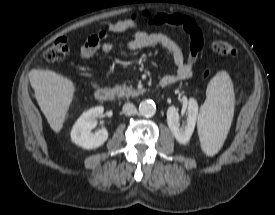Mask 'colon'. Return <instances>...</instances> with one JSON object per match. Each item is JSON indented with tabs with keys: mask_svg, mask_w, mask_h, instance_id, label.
Masks as SVG:
<instances>
[{
	"mask_svg": "<svg viewBox=\"0 0 275 215\" xmlns=\"http://www.w3.org/2000/svg\"><path fill=\"white\" fill-rule=\"evenodd\" d=\"M165 23H167L172 28L176 29L179 34H184L192 37L197 32L196 24L181 15L167 16L165 17ZM214 52L235 57L237 55V49L223 40H215L211 45ZM68 38L62 37L54 41L44 52V60L46 62L52 63L62 60L68 53ZM211 74L210 70L204 73V77H208Z\"/></svg>",
	"mask_w": 275,
	"mask_h": 215,
	"instance_id": "1",
	"label": "colon"
}]
</instances>
